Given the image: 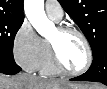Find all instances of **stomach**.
I'll list each match as a JSON object with an SVG mask.
<instances>
[{
	"instance_id": "obj_1",
	"label": "stomach",
	"mask_w": 107,
	"mask_h": 89,
	"mask_svg": "<svg viewBox=\"0 0 107 89\" xmlns=\"http://www.w3.org/2000/svg\"><path fill=\"white\" fill-rule=\"evenodd\" d=\"M59 89H79V88H74V87H71V86H65V87H61Z\"/></svg>"
}]
</instances>
